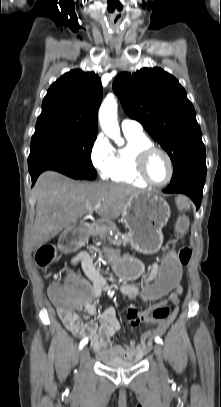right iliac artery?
Here are the masks:
<instances>
[{
    "instance_id": "1",
    "label": "right iliac artery",
    "mask_w": 221,
    "mask_h": 407,
    "mask_svg": "<svg viewBox=\"0 0 221 407\" xmlns=\"http://www.w3.org/2000/svg\"><path fill=\"white\" fill-rule=\"evenodd\" d=\"M87 342H88V339H83L81 342H80V345H79V348L80 349H82L86 344H87Z\"/></svg>"
}]
</instances>
